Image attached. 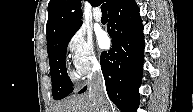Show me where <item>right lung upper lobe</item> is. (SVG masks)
Instances as JSON below:
<instances>
[{
  "instance_id": "right-lung-upper-lobe-1",
  "label": "right lung upper lobe",
  "mask_w": 193,
  "mask_h": 112,
  "mask_svg": "<svg viewBox=\"0 0 193 112\" xmlns=\"http://www.w3.org/2000/svg\"><path fill=\"white\" fill-rule=\"evenodd\" d=\"M92 6L97 0H88ZM108 12L121 0H105ZM81 0H50L46 24L47 45L60 33L82 25Z\"/></svg>"
}]
</instances>
